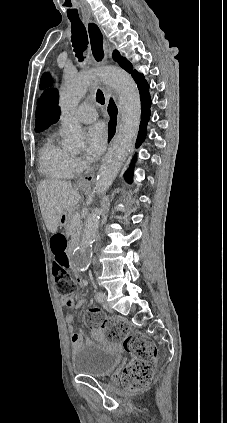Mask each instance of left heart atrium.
<instances>
[{
    "instance_id": "left-heart-atrium-1",
    "label": "left heart atrium",
    "mask_w": 227,
    "mask_h": 423,
    "mask_svg": "<svg viewBox=\"0 0 227 423\" xmlns=\"http://www.w3.org/2000/svg\"><path fill=\"white\" fill-rule=\"evenodd\" d=\"M87 157L91 161L97 160L105 151L108 142V131L103 125H96L87 132Z\"/></svg>"
}]
</instances>
